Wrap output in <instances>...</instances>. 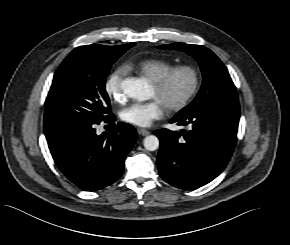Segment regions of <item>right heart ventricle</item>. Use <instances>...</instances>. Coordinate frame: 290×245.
I'll return each mask as SVG.
<instances>
[{"instance_id": "right-heart-ventricle-1", "label": "right heart ventricle", "mask_w": 290, "mask_h": 245, "mask_svg": "<svg viewBox=\"0 0 290 245\" xmlns=\"http://www.w3.org/2000/svg\"><path fill=\"white\" fill-rule=\"evenodd\" d=\"M172 67V63L154 58L142 59L126 64V68L128 70H134L137 73L147 77L152 82L160 78Z\"/></svg>"}]
</instances>
